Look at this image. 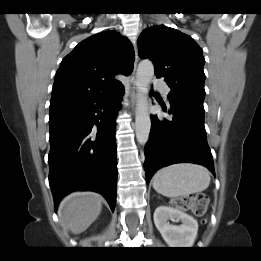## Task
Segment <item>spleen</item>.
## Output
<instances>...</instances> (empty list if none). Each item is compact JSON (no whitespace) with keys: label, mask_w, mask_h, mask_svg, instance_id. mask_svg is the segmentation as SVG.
Segmentation results:
<instances>
[{"label":"spleen","mask_w":261,"mask_h":261,"mask_svg":"<svg viewBox=\"0 0 261 261\" xmlns=\"http://www.w3.org/2000/svg\"><path fill=\"white\" fill-rule=\"evenodd\" d=\"M207 168L191 163L174 164L160 169L153 178V188L161 195L175 198L207 189L210 184Z\"/></svg>","instance_id":"3e777b00"}]
</instances>
